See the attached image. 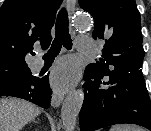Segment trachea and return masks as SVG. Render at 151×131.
<instances>
[{"label": "trachea", "instance_id": "trachea-1", "mask_svg": "<svg viewBox=\"0 0 151 131\" xmlns=\"http://www.w3.org/2000/svg\"><path fill=\"white\" fill-rule=\"evenodd\" d=\"M68 26V13L65 8H62L58 13L55 24L56 34L54 41L47 54L43 57L45 61H53L59 54L62 46L68 50L72 48V39L69 34Z\"/></svg>", "mask_w": 151, "mask_h": 131}]
</instances>
